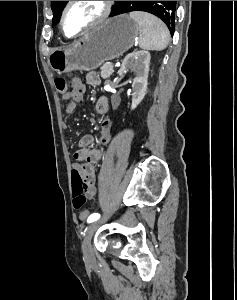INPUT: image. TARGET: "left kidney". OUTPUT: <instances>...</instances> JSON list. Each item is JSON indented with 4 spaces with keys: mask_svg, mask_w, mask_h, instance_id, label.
Masks as SVG:
<instances>
[{
    "mask_svg": "<svg viewBox=\"0 0 237 300\" xmlns=\"http://www.w3.org/2000/svg\"><path fill=\"white\" fill-rule=\"evenodd\" d=\"M150 59L151 57L148 51H133V53H129V55L125 57L121 69H119L120 77H124L128 69L136 73V77L132 83L131 109H136L137 105L143 101L147 93Z\"/></svg>",
    "mask_w": 237,
    "mask_h": 300,
    "instance_id": "5707ae66",
    "label": "left kidney"
}]
</instances>
